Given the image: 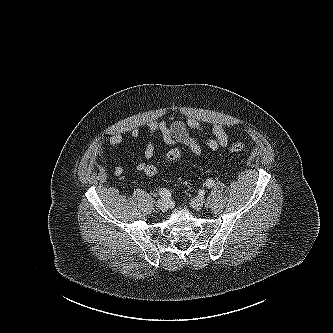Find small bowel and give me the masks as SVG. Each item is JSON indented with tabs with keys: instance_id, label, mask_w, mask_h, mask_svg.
Instances as JSON below:
<instances>
[{
	"instance_id": "obj_1",
	"label": "small bowel",
	"mask_w": 333,
	"mask_h": 333,
	"mask_svg": "<svg viewBox=\"0 0 333 333\" xmlns=\"http://www.w3.org/2000/svg\"><path fill=\"white\" fill-rule=\"evenodd\" d=\"M190 131H195L200 133L205 138L206 146L212 151H218L221 148H225L229 145V137L226 133L224 127L215 123L212 126L213 136H208L201 125V123L195 118H187L186 120H175L168 122L167 120L151 121L148 124V135L149 139L144 148L143 156L145 159H150L153 157L155 152L154 137L161 135L164 143L173 147L176 144H182L186 146L195 156L200 157L203 153L202 146L199 142L190 134ZM132 138H137L139 136L138 129H132L130 132ZM123 141V135L118 132L113 134L109 138V144L111 147H117ZM98 155L100 158L104 159L105 152L103 149H99ZM146 163L139 162L136 165L138 171L144 172ZM123 167L119 164L114 167V174L116 176H121L123 174Z\"/></svg>"
}]
</instances>
